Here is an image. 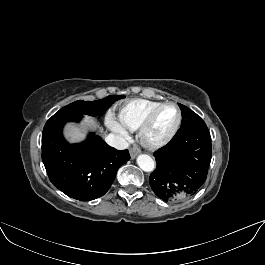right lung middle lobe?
I'll return each mask as SVG.
<instances>
[{"mask_svg":"<svg viewBox=\"0 0 265 265\" xmlns=\"http://www.w3.org/2000/svg\"><path fill=\"white\" fill-rule=\"evenodd\" d=\"M122 95H110L96 101H75L56 112L55 116L63 115H84L101 116L117 100L123 98Z\"/></svg>","mask_w":265,"mask_h":265,"instance_id":"obj_1","label":"right lung middle lobe"}]
</instances>
